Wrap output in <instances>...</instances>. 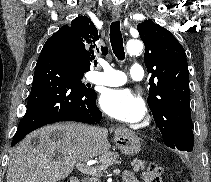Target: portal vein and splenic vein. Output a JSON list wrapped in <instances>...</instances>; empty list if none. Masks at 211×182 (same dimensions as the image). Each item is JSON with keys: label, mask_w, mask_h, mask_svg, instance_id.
Here are the masks:
<instances>
[{"label": "portal vein and splenic vein", "mask_w": 211, "mask_h": 182, "mask_svg": "<svg viewBox=\"0 0 211 182\" xmlns=\"http://www.w3.org/2000/svg\"><path fill=\"white\" fill-rule=\"evenodd\" d=\"M77 169L82 172V173H86V174H92L95 172V169L93 167H90L88 164L84 165L83 163H77L76 164ZM114 173H120L119 169H114L113 170Z\"/></svg>", "instance_id": "1"}]
</instances>
